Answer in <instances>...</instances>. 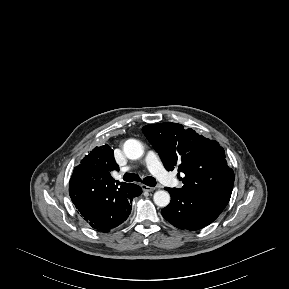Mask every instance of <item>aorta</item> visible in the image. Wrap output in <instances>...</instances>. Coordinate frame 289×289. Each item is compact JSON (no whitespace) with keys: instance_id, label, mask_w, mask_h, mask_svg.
Returning <instances> with one entry per match:
<instances>
[{"instance_id":"obj_1","label":"aorta","mask_w":289,"mask_h":289,"mask_svg":"<svg viewBox=\"0 0 289 289\" xmlns=\"http://www.w3.org/2000/svg\"><path fill=\"white\" fill-rule=\"evenodd\" d=\"M124 153L128 159L136 160L143 154V145L136 139H128L123 146ZM154 203L159 207H166L170 203V194L165 190L154 193Z\"/></svg>"}]
</instances>
